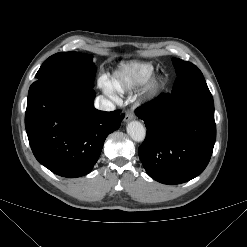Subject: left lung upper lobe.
Listing matches in <instances>:
<instances>
[{
    "label": "left lung upper lobe",
    "instance_id": "obj_1",
    "mask_svg": "<svg viewBox=\"0 0 247 247\" xmlns=\"http://www.w3.org/2000/svg\"><path fill=\"white\" fill-rule=\"evenodd\" d=\"M172 61L177 74L172 94L208 89L202 72L194 64L178 58H172Z\"/></svg>",
    "mask_w": 247,
    "mask_h": 247
}]
</instances>
